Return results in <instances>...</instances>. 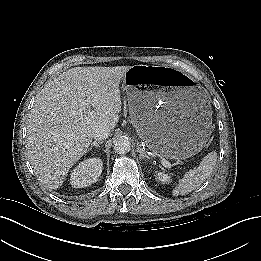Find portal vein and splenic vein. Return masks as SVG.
<instances>
[{
  "mask_svg": "<svg viewBox=\"0 0 261 261\" xmlns=\"http://www.w3.org/2000/svg\"><path fill=\"white\" fill-rule=\"evenodd\" d=\"M162 163L165 167H169L170 166V163L166 160V159H162Z\"/></svg>",
  "mask_w": 261,
  "mask_h": 261,
  "instance_id": "1",
  "label": "portal vein and splenic vein"
}]
</instances>
